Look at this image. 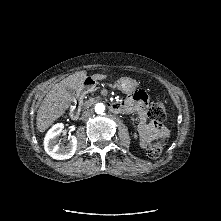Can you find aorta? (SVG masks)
Instances as JSON below:
<instances>
[{
  "mask_svg": "<svg viewBox=\"0 0 221 221\" xmlns=\"http://www.w3.org/2000/svg\"><path fill=\"white\" fill-rule=\"evenodd\" d=\"M104 110H105V105L103 103H97L95 105V112L97 114H102L104 112Z\"/></svg>",
  "mask_w": 221,
  "mask_h": 221,
  "instance_id": "1",
  "label": "aorta"
}]
</instances>
